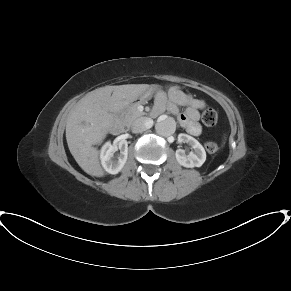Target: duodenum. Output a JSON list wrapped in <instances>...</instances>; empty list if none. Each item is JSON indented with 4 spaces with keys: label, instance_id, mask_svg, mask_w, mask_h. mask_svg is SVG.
Here are the masks:
<instances>
[{
    "label": "duodenum",
    "instance_id": "410a0bca",
    "mask_svg": "<svg viewBox=\"0 0 291 291\" xmlns=\"http://www.w3.org/2000/svg\"><path fill=\"white\" fill-rule=\"evenodd\" d=\"M110 131L114 135H119V134L126 132V126L124 125V123L120 119L119 111H116L113 115V121L110 124Z\"/></svg>",
    "mask_w": 291,
    "mask_h": 291
}]
</instances>
